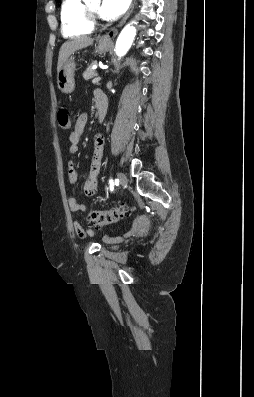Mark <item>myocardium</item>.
<instances>
[{
    "label": "myocardium",
    "mask_w": 254,
    "mask_h": 397,
    "mask_svg": "<svg viewBox=\"0 0 254 397\" xmlns=\"http://www.w3.org/2000/svg\"><path fill=\"white\" fill-rule=\"evenodd\" d=\"M85 13L87 22L91 27H95L100 24V18L98 13L93 11L89 6L85 5Z\"/></svg>",
    "instance_id": "1"
}]
</instances>
